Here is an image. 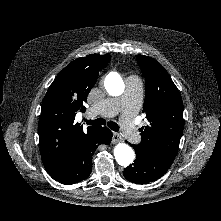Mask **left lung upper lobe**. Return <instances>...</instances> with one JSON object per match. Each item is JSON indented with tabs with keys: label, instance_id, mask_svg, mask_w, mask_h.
<instances>
[{
	"label": "left lung upper lobe",
	"instance_id": "obj_1",
	"mask_svg": "<svg viewBox=\"0 0 221 221\" xmlns=\"http://www.w3.org/2000/svg\"><path fill=\"white\" fill-rule=\"evenodd\" d=\"M145 78L143 113L149 125L140 129L138 145L148 154H177L183 132V102L168 72L155 59L136 55Z\"/></svg>",
	"mask_w": 221,
	"mask_h": 221
}]
</instances>
